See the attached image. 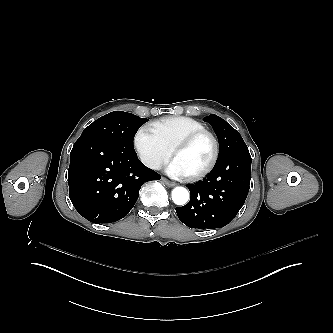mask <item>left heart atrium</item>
I'll return each instance as SVG.
<instances>
[{"mask_svg": "<svg viewBox=\"0 0 333 333\" xmlns=\"http://www.w3.org/2000/svg\"><path fill=\"white\" fill-rule=\"evenodd\" d=\"M165 172L167 175H169L172 178H176V179H182V178H186L187 174L186 172L179 166V164L177 163L176 160L171 159L166 168H165Z\"/></svg>", "mask_w": 333, "mask_h": 333, "instance_id": "obj_1", "label": "left heart atrium"}]
</instances>
